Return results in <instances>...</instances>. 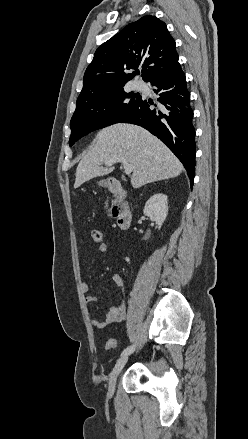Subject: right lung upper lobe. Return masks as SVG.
I'll list each match as a JSON object with an SVG mask.
<instances>
[{"label":"right lung upper lobe","mask_w":248,"mask_h":439,"mask_svg":"<svg viewBox=\"0 0 248 439\" xmlns=\"http://www.w3.org/2000/svg\"><path fill=\"white\" fill-rule=\"evenodd\" d=\"M174 39L166 24L155 16H144L128 24L102 44L87 67L76 107L123 88L132 74L124 71L143 67V80L179 65Z\"/></svg>","instance_id":"right-lung-upper-lobe-1"}]
</instances>
